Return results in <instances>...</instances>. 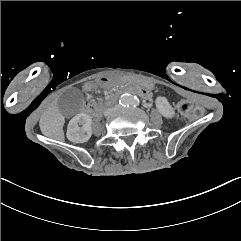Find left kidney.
<instances>
[{
	"label": "left kidney",
	"mask_w": 241,
	"mask_h": 241,
	"mask_svg": "<svg viewBox=\"0 0 241 241\" xmlns=\"http://www.w3.org/2000/svg\"><path fill=\"white\" fill-rule=\"evenodd\" d=\"M156 107L158 111L166 118H172L175 115L174 109L171 107L169 102L165 97H157L156 98Z\"/></svg>",
	"instance_id": "5707ae66"
}]
</instances>
